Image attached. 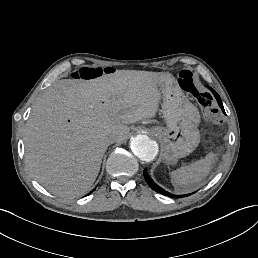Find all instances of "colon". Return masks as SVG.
<instances>
[{
  "label": "colon",
  "mask_w": 258,
  "mask_h": 258,
  "mask_svg": "<svg viewBox=\"0 0 258 258\" xmlns=\"http://www.w3.org/2000/svg\"><path fill=\"white\" fill-rule=\"evenodd\" d=\"M115 71V68L111 67H82L72 73V78L90 81L106 74H113ZM180 82L183 88L192 95L203 108L215 112L213 110L212 95L200 87L195 74L191 70H184L180 73Z\"/></svg>",
  "instance_id": "obj_1"
}]
</instances>
